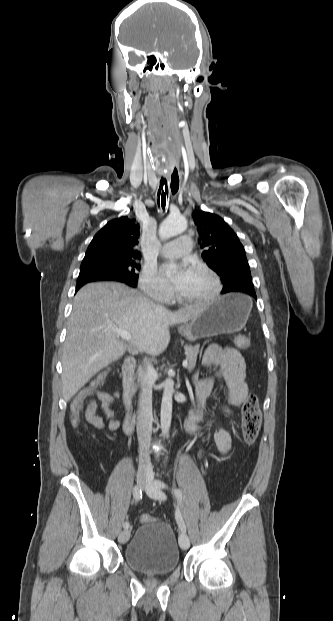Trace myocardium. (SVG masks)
Segmentation results:
<instances>
[{
	"instance_id": "1",
	"label": "myocardium",
	"mask_w": 333,
	"mask_h": 621,
	"mask_svg": "<svg viewBox=\"0 0 333 621\" xmlns=\"http://www.w3.org/2000/svg\"><path fill=\"white\" fill-rule=\"evenodd\" d=\"M192 269L206 274L212 280L213 285H214L212 292L207 296L198 297V298H187V297L181 296L178 293L176 294V299L179 302L185 303V304H208L214 301L220 295L222 291V283H221V280L218 274L204 263L194 264Z\"/></svg>"
}]
</instances>
